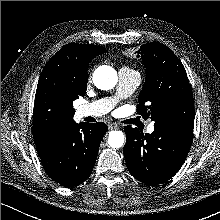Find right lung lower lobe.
Instances as JSON below:
<instances>
[{
    "label": "right lung lower lobe",
    "instance_id": "obj_1",
    "mask_svg": "<svg viewBox=\"0 0 220 220\" xmlns=\"http://www.w3.org/2000/svg\"><path fill=\"white\" fill-rule=\"evenodd\" d=\"M107 130V125L102 122H74L36 145L47 175L65 187L85 181L92 173L101 140Z\"/></svg>",
    "mask_w": 220,
    "mask_h": 220
}]
</instances>
